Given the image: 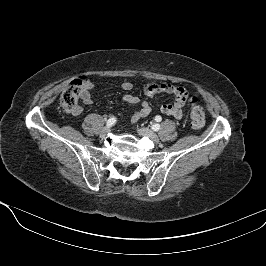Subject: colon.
<instances>
[{"mask_svg": "<svg viewBox=\"0 0 266 266\" xmlns=\"http://www.w3.org/2000/svg\"><path fill=\"white\" fill-rule=\"evenodd\" d=\"M82 81L83 79L73 81L61 96V106L67 112L72 113L78 107ZM190 123L194 129H201L205 123L204 109L197 103L195 98L191 100Z\"/></svg>", "mask_w": 266, "mask_h": 266, "instance_id": "colon-1", "label": "colon"}]
</instances>
